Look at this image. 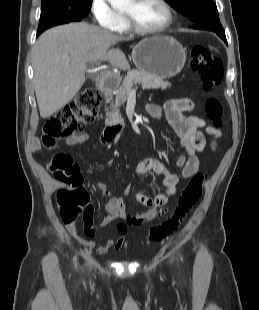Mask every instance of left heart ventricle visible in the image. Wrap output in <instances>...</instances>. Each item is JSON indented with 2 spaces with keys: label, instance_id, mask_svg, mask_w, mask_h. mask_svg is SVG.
Wrapping results in <instances>:
<instances>
[{
  "label": "left heart ventricle",
  "instance_id": "obj_1",
  "mask_svg": "<svg viewBox=\"0 0 259 310\" xmlns=\"http://www.w3.org/2000/svg\"><path fill=\"white\" fill-rule=\"evenodd\" d=\"M124 13L130 14L136 23L144 28L159 27L167 17L164 7L157 0H130Z\"/></svg>",
  "mask_w": 259,
  "mask_h": 310
}]
</instances>
